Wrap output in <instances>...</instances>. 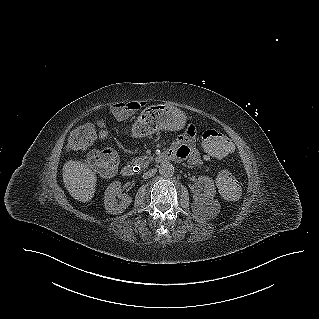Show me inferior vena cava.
Wrapping results in <instances>:
<instances>
[{
	"instance_id": "1",
	"label": "inferior vena cava",
	"mask_w": 319,
	"mask_h": 319,
	"mask_svg": "<svg viewBox=\"0 0 319 319\" xmlns=\"http://www.w3.org/2000/svg\"><path fill=\"white\" fill-rule=\"evenodd\" d=\"M156 169H151V170H148L147 172H145L144 174H143V178L144 179H148V178H150V177H152L155 173H156Z\"/></svg>"
}]
</instances>
